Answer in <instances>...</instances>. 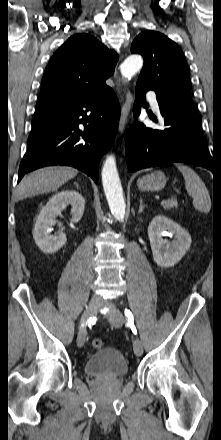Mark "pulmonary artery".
I'll list each match as a JSON object with an SVG mask.
<instances>
[{
  "mask_svg": "<svg viewBox=\"0 0 221 440\" xmlns=\"http://www.w3.org/2000/svg\"><path fill=\"white\" fill-rule=\"evenodd\" d=\"M147 96H148V99L151 103L153 110L156 112H159L160 111L159 103L157 101L155 93L153 91H149V92H147Z\"/></svg>",
  "mask_w": 221,
  "mask_h": 440,
  "instance_id": "obj_1",
  "label": "pulmonary artery"
}]
</instances>
